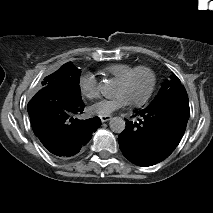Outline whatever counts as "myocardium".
Listing matches in <instances>:
<instances>
[{
  "mask_svg": "<svg viewBox=\"0 0 213 213\" xmlns=\"http://www.w3.org/2000/svg\"><path fill=\"white\" fill-rule=\"evenodd\" d=\"M140 76L145 78V86L138 92L131 91L132 84ZM120 80V79H119ZM155 83V77L153 72L146 67H139L135 69L128 77L120 80L121 86L127 91L126 95L133 103H139L144 101L151 93Z\"/></svg>",
  "mask_w": 213,
  "mask_h": 213,
  "instance_id": "myocardium-1",
  "label": "myocardium"
}]
</instances>
